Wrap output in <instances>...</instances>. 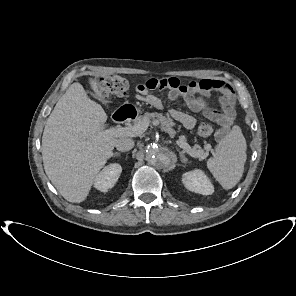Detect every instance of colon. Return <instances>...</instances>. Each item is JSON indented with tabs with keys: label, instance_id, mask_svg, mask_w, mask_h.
Instances as JSON below:
<instances>
[{
	"label": "colon",
	"instance_id": "5ec220e1",
	"mask_svg": "<svg viewBox=\"0 0 296 296\" xmlns=\"http://www.w3.org/2000/svg\"><path fill=\"white\" fill-rule=\"evenodd\" d=\"M98 87L104 96H124L131 87L130 81L122 76H110L100 79ZM212 127L207 122H202L198 126V134L202 138L209 137L212 134Z\"/></svg>",
	"mask_w": 296,
	"mask_h": 296
}]
</instances>
